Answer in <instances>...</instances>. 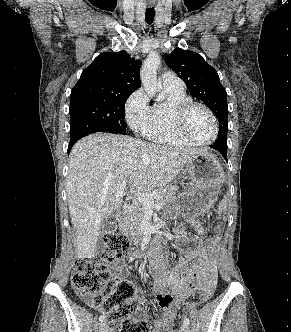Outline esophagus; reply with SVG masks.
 I'll list each match as a JSON object with an SVG mask.
<instances>
[{
    "mask_svg": "<svg viewBox=\"0 0 291 332\" xmlns=\"http://www.w3.org/2000/svg\"><path fill=\"white\" fill-rule=\"evenodd\" d=\"M152 5H153L152 3L149 4V6H152Z\"/></svg>",
    "mask_w": 291,
    "mask_h": 332,
    "instance_id": "obj_1",
    "label": "esophagus"
}]
</instances>
